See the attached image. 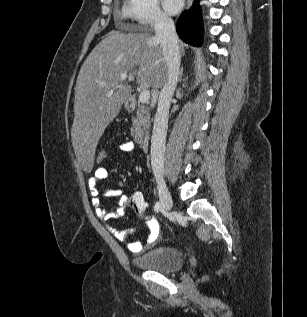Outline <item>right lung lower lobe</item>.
I'll return each instance as SVG.
<instances>
[{
    "instance_id": "right-lung-lower-lobe-1",
    "label": "right lung lower lobe",
    "mask_w": 307,
    "mask_h": 317,
    "mask_svg": "<svg viewBox=\"0 0 307 317\" xmlns=\"http://www.w3.org/2000/svg\"><path fill=\"white\" fill-rule=\"evenodd\" d=\"M176 31L180 38L193 46H201L203 39V27L201 10L198 0L192 7L181 14L176 24Z\"/></svg>"
}]
</instances>
